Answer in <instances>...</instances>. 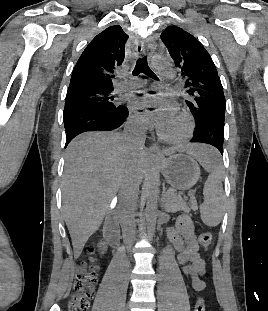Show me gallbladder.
I'll return each instance as SVG.
<instances>
[{"label": "gallbladder", "mask_w": 268, "mask_h": 311, "mask_svg": "<svg viewBox=\"0 0 268 311\" xmlns=\"http://www.w3.org/2000/svg\"><path fill=\"white\" fill-rule=\"evenodd\" d=\"M120 201L119 199H109L108 205L110 208H115L116 206H119Z\"/></svg>", "instance_id": "bac80fb5"}]
</instances>
